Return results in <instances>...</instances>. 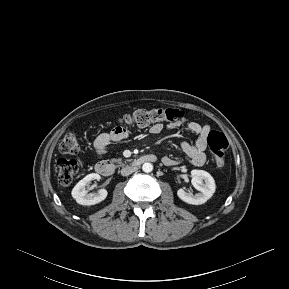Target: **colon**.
<instances>
[{
	"label": "colon",
	"mask_w": 289,
	"mask_h": 289,
	"mask_svg": "<svg viewBox=\"0 0 289 289\" xmlns=\"http://www.w3.org/2000/svg\"><path fill=\"white\" fill-rule=\"evenodd\" d=\"M183 113L173 108L138 109L127 113L119 118V126L146 127L150 124L165 122L168 124L178 123L183 119ZM208 147L213 156L216 166L221 167L224 163V153L229 143L226 136L216 130H211L207 137ZM63 154L74 155L79 151V142L75 133L67 134L59 145ZM81 161L76 159H60L57 163L56 172L58 181L63 186L70 185L78 175Z\"/></svg>",
	"instance_id": "5ec220e1"
}]
</instances>
